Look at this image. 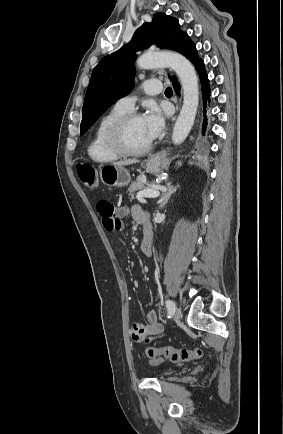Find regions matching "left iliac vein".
Returning <instances> with one entry per match:
<instances>
[{
  "label": "left iliac vein",
  "mask_w": 283,
  "mask_h": 434,
  "mask_svg": "<svg viewBox=\"0 0 283 434\" xmlns=\"http://www.w3.org/2000/svg\"><path fill=\"white\" fill-rule=\"evenodd\" d=\"M181 317H182V311H181V309L180 308H176L175 311H174V313H173L174 320L178 321V320L181 319Z\"/></svg>",
  "instance_id": "left-iliac-vein-1"
}]
</instances>
